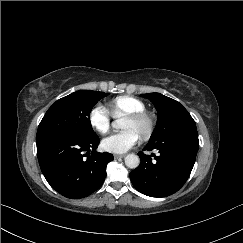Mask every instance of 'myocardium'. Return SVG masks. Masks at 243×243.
Instances as JSON below:
<instances>
[{
    "label": "myocardium",
    "mask_w": 243,
    "mask_h": 243,
    "mask_svg": "<svg viewBox=\"0 0 243 243\" xmlns=\"http://www.w3.org/2000/svg\"><path fill=\"white\" fill-rule=\"evenodd\" d=\"M125 118L133 122L144 123L146 125V129L143 135L140 137L142 141H147L155 130L156 127L155 119L151 114L147 113L146 111L132 113L126 115Z\"/></svg>",
    "instance_id": "1"
}]
</instances>
